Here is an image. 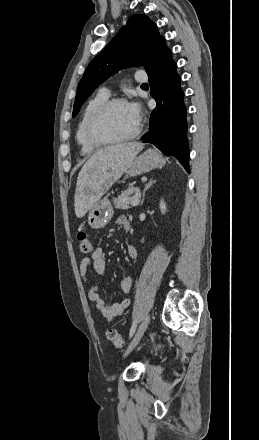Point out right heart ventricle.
<instances>
[{
    "label": "right heart ventricle",
    "instance_id": "right-heart-ventricle-1",
    "mask_svg": "<svg viewBox=\"0 0 259 440\" xmlns=\"http://www.w3.org/2000/svg\"><path fill=\"white\" fill-rule=\"evenodd\" d=\"M109 95L102 91L98 92L94 97H92L87 104L85 105L79 123L76 129V141L84 154H90L95 151L98 147L93 146L88 143L85 137V126L88 121V118L92 114V112L103 102L108 100Z\"/></svg>",
    "mask_w": 259,
    "mask_h": 440
}]
</instances>
